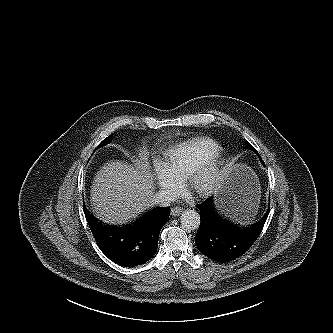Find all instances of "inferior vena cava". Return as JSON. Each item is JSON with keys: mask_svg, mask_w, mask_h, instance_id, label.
Masks as SVG:
<instances>
[{"mask_svg": "<svg viewBox=\"0 0 333 333\" xmlns=\"http://www.w3.org/2000/svg\"><path fill=\"white\" fill-rule=\"evenodd\" d=\"M175 200H176L175 194H173L169 190H162L154 195V197L152 198V204H156L162 207H167Z\"/></svg>", "mask_w": 333, "mask_h": 333, "instance_id": "1", "label": "inferior vena cava"}]
</instances>
